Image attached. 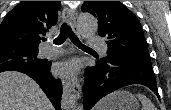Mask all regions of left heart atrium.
Masks as SVG:
<instances>
[{
  "label": "left heart atrium",
  "mask_w": 171,
  "mask_h": 110,
  "mask_svg": "<svg viewBox=\"0 0 171 110\" xmlns=\"http://www.w3.org/2000/svg\"><path fill=\"white\" fill-rule=\"evenodd\" d=\"M79 69V64L77 61H67L63 63L56 64L54 68V73L59 77H74Z\"/></svg>",
  "instance_id": "left-heart-atrium-1"
}]
</instances>
